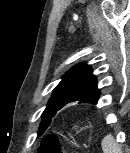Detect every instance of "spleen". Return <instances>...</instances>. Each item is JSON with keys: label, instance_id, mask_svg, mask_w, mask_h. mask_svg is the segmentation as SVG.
<instances>
[{"label": "spleen", "instance_id": "1", "mask_svg": "<svg viewBox=\"0 0 130 153\" xmlns=\"http://www.w3.org/2000/svg\"><path fill=\"white\" fill-rule=\"evenodd\" d=\"M101 145L104 153H121L120 147L115 143L114 137L111 134L104 137Z\"/></svg>", "mask_w": 130, "mask_h": 153}]
</instances>
